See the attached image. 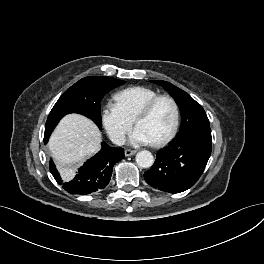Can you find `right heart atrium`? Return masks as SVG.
<instances>
[{"instance_id":"1","label":"right heart atrium","mask_w":264,"mask_h":264,"mask_svg":"<svg viewBox=\"0 0 264 264\" xmlns=\"http://www.w3.org/2000/svg\"><path fill=\"white\" fill-rule=\"evenodd\" d=\"M101 122L110 139L116 144L124 142L133 125L116 102L108 101L101 109Z\"/></svg>"}]
</instances>
